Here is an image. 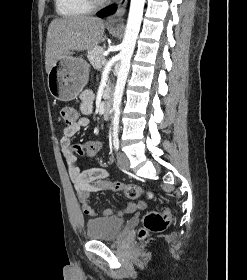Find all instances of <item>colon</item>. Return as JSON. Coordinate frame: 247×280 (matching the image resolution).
Here are the masks:
<instances>
[{"mask_svg":"<svg viewBox=\"0 0 247 280\" xmlns=\"http://www.w3.org/2000/svg\"><path fill=\"white\" fill-rule=\"evenodd\" d=\"M60 115L67 125H73L78 120V112L71 106H63L60 109ZM102 138L96 137L95 141H89L83 145H74V154L94 156L102 147ZM96 176V174H93ZM87 186L91 185L90 181L86 182ZM94 188H106L112 191H122L130 199H138L143 195L152 198L154 194L150 191H146L136 184H124L117 181H111L109 179H94L92 181ZM170 223V211L168 208L162 211H149L143 218V227L140 230V237H145L148 233H158L166 229Z\"/></svg>","mask_w":247,"mask_h":280,"instance_id":"colon-1","label":"colon"}]
</instances>
